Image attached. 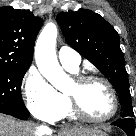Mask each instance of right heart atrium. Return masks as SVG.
Listing matches in <instances>:
<instances>
[{
    "label": "right heart atrium",
    "instance_id": "1",
    "mask_svg": "<svg viewBox=\"0 0 136 136\" xmlns=\"http://www.w3.org/2000/svg\"><path fill=\"white\" fill-rule=\"evenodd\" d=\"M24 102L37 118L54 121L59 115L63 101L52 85L35 69L30 68L22 82Z\"/></svg>",
    "mask_w": 136,
    "mask_h": 136
}]
</instances>
